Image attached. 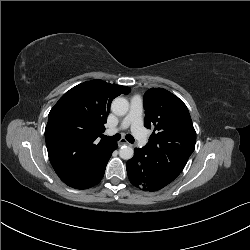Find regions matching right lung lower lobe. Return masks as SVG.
<instances>
[{
  "label": "right lung lower lobe",
  "instance_id": "1",
  "mask_svg": "<svg viewBox=\"0 0 250 250\" xmlns=\"http://www.w3.org/2000/svg\"><path fill=\"white\" fill-rule=\"evenodd\" d=\"M116 148H117V144H116V143H113V145L111 146V148L109 149V151L106 153V156H105V159H104V161H103V164H102L101 167H100L98 177H97V179L95 180V182L92 184V186L98 184V183L101 181V179H102V177H103V175H104V172H105L106 164H107L108 160L110 159L112 152H113ZM92 186H91V187H92Z\"/></svg>",
  "mask_w": 250,
  "mask_h": 250
}]
</instances>
